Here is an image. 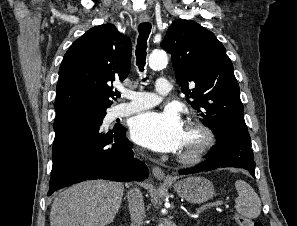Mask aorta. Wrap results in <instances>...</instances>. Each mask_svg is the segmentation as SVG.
<instances>
[{"label": "aorta", "mask_w": 297, "mask_h": 226, "mask_svg": "<svg viewBox=\"0 0 297 226\" xmlns=\"http://www.w3.org/2000/svg\"><path fill=\"white\" fill-rule=\"evenodd\" d=\"M167 63L168 57L164 51H155L152 52L149 56V66L151 68H161L166 66ZM159 226H162V224Z\"/></svg>", "instance_id": "aorta-1"}]
</instances>
